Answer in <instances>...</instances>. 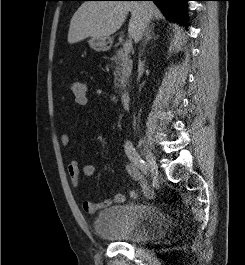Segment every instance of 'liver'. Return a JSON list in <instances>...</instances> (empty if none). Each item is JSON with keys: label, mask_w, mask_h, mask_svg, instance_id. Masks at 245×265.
Instances as JSON below:
<instances>
[{"label": "liver", "mask_w": 245, "mask_h": 265, "mask_svg": "<svg viewBox=\"0 0 245 265\" xmlns=\"http://www.w3.org/2000/svg\"><path fill=\"white\" fill-rule=\"evenodd\" d=\"M146 11L152 18H162V13L152 2L86 1L71 19L68 42L73 44L88 37L108 38L120 29L131 12L128 34L137 43Z\"/></svg>", "instance_id": "liver-1"}]
</instances>
